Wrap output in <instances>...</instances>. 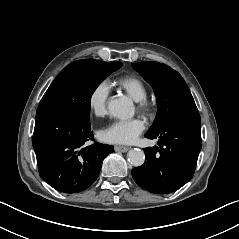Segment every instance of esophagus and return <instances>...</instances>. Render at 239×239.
Wrapping results in <instances>:
<instances>
[{"label":"esophagus","instance_id":"obj_1","mask_svg":"<svg viewBox=\"0 0 239 239\" xmlns=\"http://www.w3.org/2000/svg\"><path fill=\"white\" fill-rule=\"evenodd\" d=\"M114 150L116 152H127L129 148L124 146H114Z\"/></svg>","mask_w":239,"mask_h":239}]
</instances>
